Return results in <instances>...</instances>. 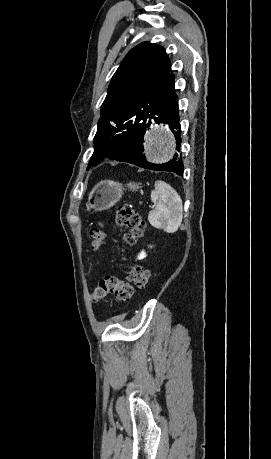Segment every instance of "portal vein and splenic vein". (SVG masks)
I'll return each instance as SVG.
<instances>
[{
    "label": "portal vein and splenic vein",
    "mask_w": 271,
    "mask_h": 459,
    "mask_svg": "<svg viewBox=\"0 0 271 459\" xmlns=\"http://www.w3.org/2000/svg\"><path fill=\"white\" fill-rule=\"evenodd\" d=\"M152 207H155V204H152Z\"/></svg>",
    "instance_id": "18ae733b"
}]
</instances>
